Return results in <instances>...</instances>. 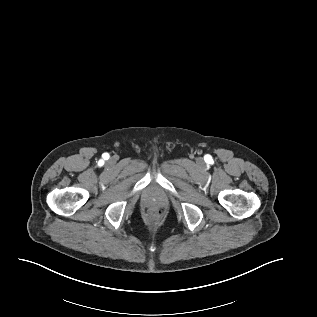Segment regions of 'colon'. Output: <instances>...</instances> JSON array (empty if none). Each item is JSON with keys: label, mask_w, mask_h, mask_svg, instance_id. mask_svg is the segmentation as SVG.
<instances>
[{"label": "colon", "mask_w": 317, "mask_h": 317, "mask_svg": "<svg viewBox=\"0 0 317 317\" xmlns=\"http://www.w3.org/2000/svg\"><path fill=\"white\" fill-rule=\"evenodd\" d=\"M161 211L158 210V209H155V210H151L149 213H148V218L152 221V222H157L160 220L161 218Z\"/></svg>", "instance_id": "colon-1"}]
</instances>
